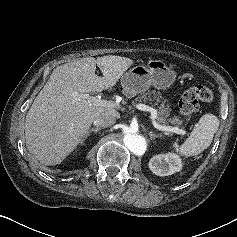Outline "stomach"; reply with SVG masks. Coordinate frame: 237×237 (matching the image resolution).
I'll list each match as a JSON object with an SVG mask.
<instances>
[{"label":"stomach","instance_id":"stomach-1","mask_svg":"<svg viewBox=\"0 0 237 237\" xmlns=\"http://www.w3.org/2000/svg\"><path fill=\"white\" fill-rule=\"evenodd\" d=\"M176 73L169 70L161 60H150L147 67L138 65L131 68L121 77L123 94L132 98L145 92L152 85L157 89H165L173 84Z\"/></svg>","mask_w":237,"mask_h":237}]
</instances>
